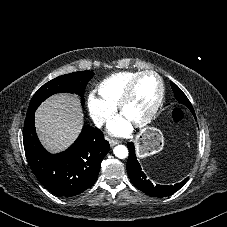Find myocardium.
I'll return each instance as SVG.
<instances>
[{"label":"myocardium","mask_w":227,"mask_h":227,"mask_svg":"<svg viewBox=\"0 0 227 227\" xmlns=\"http://www.w3.org/2000/svg\"><path fill=\"white\" fill-rule=\"evenodd\" d=\"M146 75H151V76H153L157 79V81H158V93H157L156 99L153 102L148 113L143 118H141V119H139V120H137L133 123V125L135 127H139V128L146 126L148 123H150L152 121V119L155 117L156 113L158 112V110H159V108L162 104L165 89H164V83H163L161 76L153 70H145V71L138 72L131 79L127 88L125 89L124 93L122 94L121 98L119 99V101L116 105L118 112L120 114H122L125 106L133 98L138 82L140 81V79L143 76H146Z\"/></svg>","instance_id":"1"}]
</instances>
